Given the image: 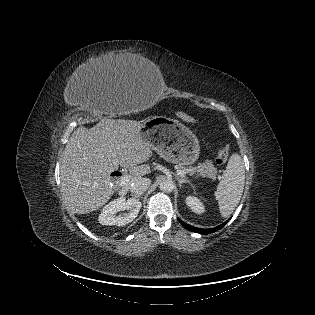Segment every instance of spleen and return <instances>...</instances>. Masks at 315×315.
<instances>
[{"label": "spleen", "instance_id": "spleen-1", "mask_svg": "<svg viewBox=\"0 0 315 315\" xmlns=\"http://www.w3.org/2000/svg\"><path fill=\"white\" fill-rule=\"evenodd\" d=\"M245 183V167L241 156L233 153L215 191L222 217H228L240 202Z\"/></svg>", "mask_w": 315, "mask_h": 315}]
</instances>
